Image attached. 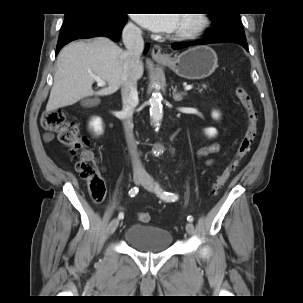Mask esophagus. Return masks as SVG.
Masks as SVG:
<instances>
[{
	"label": "esophagus",
	"mask_w": 303,
	"mask_h": 303,
	"mask_svg": "<svg viewBox=\"0 0 303 303\" xmlns=\"http://www.w3.org/2000/svg\"><path fill=\"white\" fill-rule=\"evenodd\" d=\"M152 58L156 61H165L169 60V57L164 55L161 51V47L159 45H154L151 52Z\"/></svg>",
	"instance_id": "1"
}]
</instances>
